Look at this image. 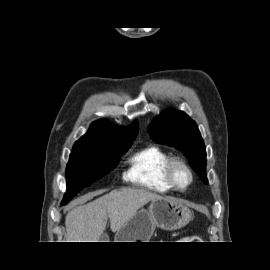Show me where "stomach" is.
<instances>
[{
  "instance_id": "obj_1",
  "label": "stomach",
  "mask_w": 270,
  "mask_h": 270,
  "mask_svg": "<svg viewBox=\"0 0 270 270\" xmlns=\"http://www.w3.org/2000/svg\"><path fill=\"white\" fill-rule=\"evenodd\" d=\"M192 213L180 201L162 197L151 201L148 209H140L115 234V242H148L155 227L177 230L189 223Z\"/></svg>"
}]
</instances>
